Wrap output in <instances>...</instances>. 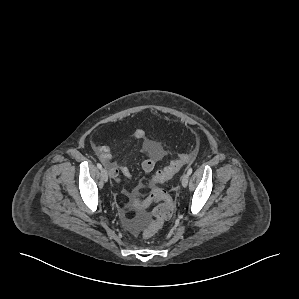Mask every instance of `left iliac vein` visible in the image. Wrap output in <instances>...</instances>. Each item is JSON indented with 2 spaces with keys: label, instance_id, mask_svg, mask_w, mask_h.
<instances>
[{
  "label": "left iliac vein",
  "instance_id": "1",
  "mask_svg": "<svg viewBox=\"0 0 299 299\" xmlns=\"http://www.w3.org/2000/svg\"><path fill=\"white\" fill-rule=\"evenodd\" d=\"M188 181H189V174L188 173H184L181 177V184L183 187H186L188 185Z\"/></svg>",
  "mask_w": 299,
  "mask_h": 299
}]
</instances>
